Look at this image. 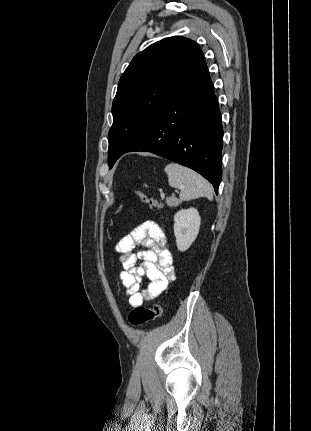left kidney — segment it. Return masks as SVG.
I'll return each instance as SVG.
<instances>
[{"mask_svg":"<svg viewBox=\"0 0 311 431\" xmlns=\"http://www.w3.org/2000/svg\"><path fill=\"white\" fill-rule=\"evenodd\" d=\"M174 221L176 245L180 251H186L198 235L201 217L198 210L188 208V210H179L174 216Z\"/></svg>","mask_w":311,"mask_h":431,"instance_id":"1","label":"left kidney"}]
</instances>
